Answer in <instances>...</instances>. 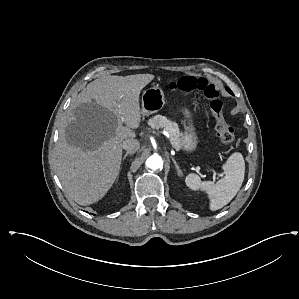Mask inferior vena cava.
<instances>
[{"mask_svg":"<svg viewBox=\"0 0 299 299\" xmlns=\"http://www.w3.org/2000/svg\"><path fill=\"white\" fill-rule=\"evenodd\" d=\"M122 148L129 152H136L140 148V143L136 139H126L122 143Z\"/></svg>","mask_w":299,"mask_h":299,"instance_id":"1","label":"inferior vena cava"}]
</instances>
